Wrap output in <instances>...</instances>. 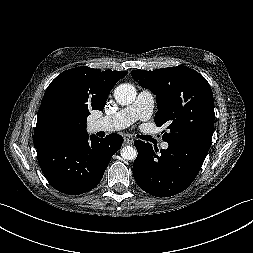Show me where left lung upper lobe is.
Wrapping results in <instances>:
<instances>
[{
	"label": "left lung upper lobe",
	"instance_id": "left-lung-upper-lobe-1",
	"mask_svg": "<svg viewBox=\"0 0 253 253\" xmlns=\"http://www.w3.org/2000/svg\"><path fill=\"white\" fill-rule=\"evenodd\" d=\"M138 84L156 95L158 111L155 123L166 124L169 133L163 140L176 144L192 139L211 142L214 129V100L207 80L186 66L154 71L133 70Z\"/></svg>",
	"mask_w": 253,
	"mask_h": 253
}]
</instances>
